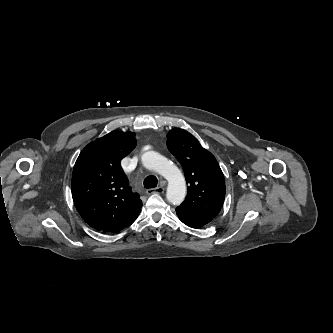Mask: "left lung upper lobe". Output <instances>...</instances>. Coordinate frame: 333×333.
<instances>
[{"label":"left lung upper lobe","instance_id":"5c2ea615","mask_svg":"<svg viewBox=\"0 0 333 333\" xmlns=\"http://www.w3.org/2000/svg\"><path fill=\"white\" fill-rule=\"evenodd\" d=\"M167 147L182 165L188 193L180 209L215 218L225 198V180L212 153L189 132L174 128L167 135Z\"/></svg>","mask_w":333,"mask_h":333}]
</instances>
